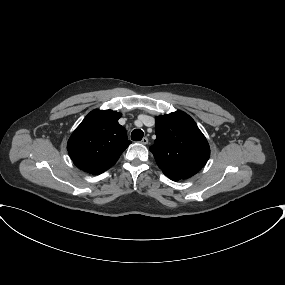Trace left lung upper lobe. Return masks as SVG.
<instances>
[{
    "label": "left lung upper lobe",
    "instance_id": "5c2ea615",
    "mask_svg": "<svg viewBox=\"0 0 285 285\" xmlns=\"http://www.w3.org/2000/svg\"><path fill=\"white\" fill-rule=\"evenodd\" d=\"M155 144L150 147L159 168L174 181L199 172L210 156V147L195 121L176 111L156 118Z\"/></svg>",
    "mask_w": 285,
    "mask_h": 285
}]
</instances>
